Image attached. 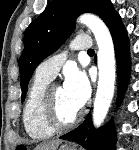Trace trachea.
<instances>
[{"label":"trachea","instance_id":"obj_1","mask_svg":"<svg viewBox=\"0 0 139 150\" xmlns=\"http://www.w3.org/2000/svg\"><path fill=\"white\" fill-rule=\"evenodd\" d=\"M88 53H94V50L93 49H89Z\"/></svg>","mask_w":139,"mask_h":150}]
</instances>
